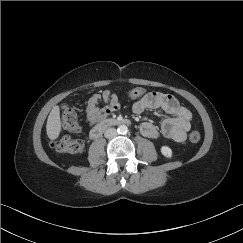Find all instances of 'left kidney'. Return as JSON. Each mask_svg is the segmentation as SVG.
<instances>
[{
  "mask_svg": "<svg viewBox=\"0 0 243 243\" xmlns=\"http://www.w3.org/2000/svg\"><path fill=\"white\" fill-rule=\"evenodd\" d=\"M160 150H161L162 155L165 156L166 158L172 157V154H173L172 150L168 146H162Z\"/></svg>",
  "mask_w": 243,
  "mask_h": 243,
  "instance_id": "5707ae66",
  "label": "left kidney"
}]
</instances>
